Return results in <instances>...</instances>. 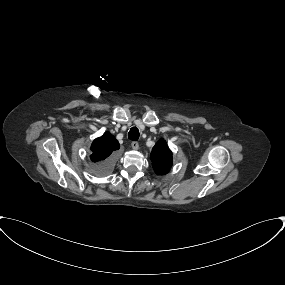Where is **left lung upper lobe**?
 Returning <instances> with one entry per match:
<instances>
[{
  "instance_id": "1",
  "label": "left lung upper lobe",
  "mask_w": 285,
  "mask_h": 285,
  "mask_svg": "<svg viewBox=\"0 0 285 285\" xmlns=\"http://www.w3.org/2000/svg\"><path fill=\"white\" fill-rule=\"evenodd\" d=\"M153 169L158 175H164L170 171L172 166V152L166 141L160 139L151 152Z\"/></svg>"
}]
</instances>
